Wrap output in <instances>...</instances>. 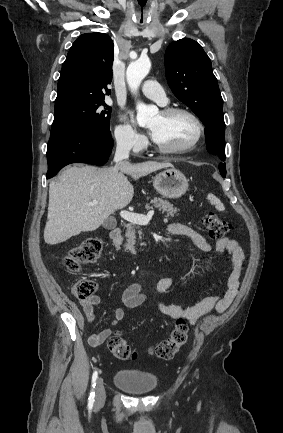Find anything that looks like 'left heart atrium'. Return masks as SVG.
Instances as JSON below:
<instances>
[{
	"mask_svg": "<svg viewBox=\"0 0 283 433\" xmlns=\"http://www.w3.org/2000/svg\"><path fill=\"white\" fill-rule=\"evenodd\" d=\"M151 136H152V139H153L154 142L158 141V136H157V134L155 132L152 131Z\"/></svg>",
	"mask_w": 283,
	"mask_h": 433,
	"instance_id": "39dd6f15",
	"label": "left heart atrium"
}]
</instances>
